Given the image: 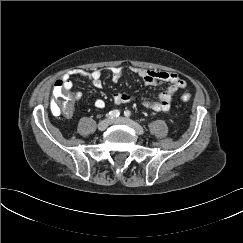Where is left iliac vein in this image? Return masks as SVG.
<instances>
[{"instance_id": "obj_1", "label": "left iliac vein", "mask_w": 243, "mask_h": 243, "mask_svg": "<svg viewBox=\"0 0 243 243\" xmlns=\"http://www.w3.org/2000/svg\"><path fill=\"white\" fill-rule=\"evenodd\" d=\"M111 123L127 125V126L131 127L137 134H139V135L144 134L143 128L139 124L134 122L133 120H130V119H127L124 117H118V118L113 119L111 121Z\"/></svg>"}]
</instances>
